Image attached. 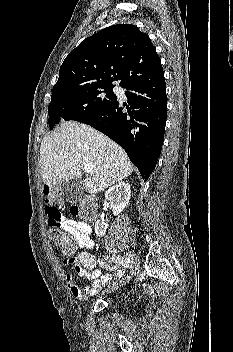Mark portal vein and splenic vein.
Instances as JSON below:
<instances>
[{
  "mask_svg": "<svg viewBox=\"0 0 233 352\" xmlns=\"http://www.w3.org/2000/svg\"><path fill=\"white\" fill-rule=\"evenodd\" d=\"M84 170H85V172H86L87 174H90V173H92V171H93V167H92V165H90V164H85Z\"/></svg>",
  "mask_w": 233,
  "mask_h": 352,
  "instance_id": "1",
  "label": "portal vein and splenic vein"
}]
</instances>
